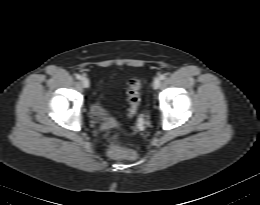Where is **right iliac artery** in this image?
Wrapping results in <instances>:
<instances>
[{
    "label": "right iliac artery",
    "instance_id": "obj_1",
    "mask_svg": "<svg viewBox=\"0 0 260 205\" xmlns=\"http://www.w3.org/2000/svg\"><path fill=\"white\" fill-rule=\"evenodd\" d=\"M81 78H82V76H81V75H79V74H76V79L80 80Z\"/></svg>",
    "mask_w": 260,
    "mask_h": 205
}]
</instances>
